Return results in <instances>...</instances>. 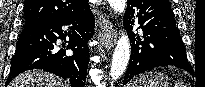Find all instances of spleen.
I'll list each match as a JSON object with an SVG mask.
<instances>
[{
	"instance_id": "3e777b00",
	"label": "spleen",
	"mask_w": 205,
	"mask_h": 87,
	"mask_svg": "<svg viewBox=\"0 0 205 87\" xmlns=\"http://www.w3.org/2000/svg\"><path fill=\"white\" fill-rule=\"evenodd\" d=\"M175 87H184V86H183V83L178 82V83H175Z\"/></svg>"
}]
</instances>
